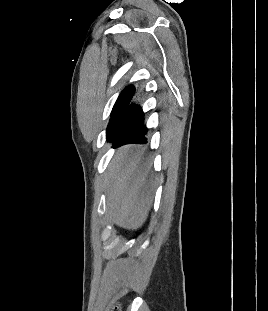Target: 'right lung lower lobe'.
Listing matches in <instances>:
<instances>
[{
    "label": "right lung lower lobe",
    "mask_w": 268,
    "mask_h": 311,
    "mask_svg": "<svg viewBox=\"0 0 268 311\" xmlns=\"http://www.w3.org/2000/svg\"><path fill=\"white\" fill-rule=\"evenodd\" d=\"M144 117L142 108L138 104L133 103L132 97L122 117L106 134L107 140L112 142L113 146L128 143H146L148 129L144 123Z\"/></svg>",
    "instance_id": "obj_1"
}]
</instances>
